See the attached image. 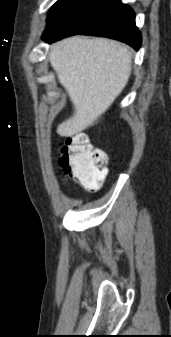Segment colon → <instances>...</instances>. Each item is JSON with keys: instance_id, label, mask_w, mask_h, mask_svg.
<instances>
[{"instance_id": "colon-1", "label": "colon", "mask_w": 171, "mask_h": 337, "mask_svg": "<svg viewBox=\"0 0 171 337\" xmlns=\"http://www.w3.org/2000/svg\"><path fill=\"white\" fill-rule=\"evenodd\" d=\"M59 152L58 164L68 179L78 181L90 191L101 188L108 172L107 155L94 147L86 134L68 136Z\"/></svg>"}]
</instances>
